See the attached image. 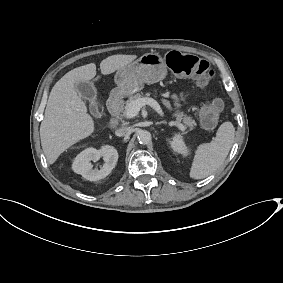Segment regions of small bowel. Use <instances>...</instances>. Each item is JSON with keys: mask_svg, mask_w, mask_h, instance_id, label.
I'll use <instances>...</instances> for the list:
<instances>
[{"mask_svg": "<svg viewBox=\"0 0 283 283\" xmlns=\"http://www.w3.org/2000/svg\"><path fill=\"white\" fill-rule=\"evenodd\" d=\"M183 100L182 95H173V101L175 105H178Z\"/></svg>", "mask_w": 283, "mask_h": 283, "instance_id": "obj_1", "label": "small bowel"}]
</instances>
